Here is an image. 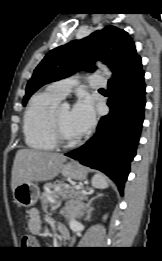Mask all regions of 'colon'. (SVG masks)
Here are the masks:
<instances>
[{
    "instance_id": "obj_1",
    "label": "colon",
    "mask_w": 162,
    "mask_h": 261,
    "mask_svg": "<svg viewBox=\"0 0 162 261\" xmlns=\"http://www.w3.org/2000/svg\"><path fill=\"white\" fill-rule=\"evenodd\" d=\"M22 246L25 248H34L38 246V242L33 236L25 235L22 238Z\"/></svg>"
}]
</instances>
